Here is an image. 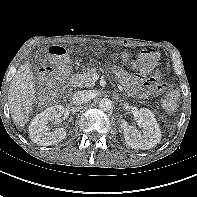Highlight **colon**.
Listing matches in <instances>:
<instances>
[{
    "label": "colon",
    "mask_w": 197,
    "mask_h": 197,
    "mask_svg": "<svg viewBox=\"0 0 197 197\" xmlns=\"http://www.w3.org/2000/svg\"><path fill=\"white\" fill-rule=\"evenodd\" d=\"M51 67L46 69L41 77L43 95H50L54 86L67 78L70 70L68 52L62 47H52L49 51ZM127 56V55H126ZM131 60L142 71H150L159 60V53L153 48H144L138 54L132 55ZM178 104V92L174 87H168L163 101L167 111L174 110Z\"/></svg>",
    "instance_id": "obj_1"
}]
</instances>
